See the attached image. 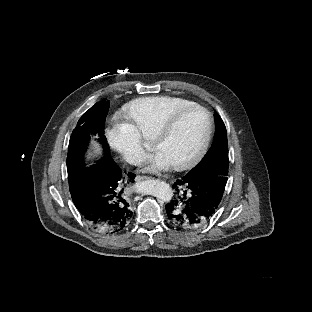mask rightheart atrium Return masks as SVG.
Wrapping results in <instances>:
<instances>
[{"mask_svg": "<svg viewBox=\"0 0 312 312\" xmlns=\"http://www.w3.org/2000/svg\"><path fill=\"white\" fill-rule=\"evenodd\" d=\"M104 143L114 155L130 165L145 167L151 161V154L145 149L139 127L131 120L112 124Z\"/></svg>", "mask_w": 312, "mask_h": 312, "instance_id": "obj_1", "label": "right heart atrium"}]
</instances>
